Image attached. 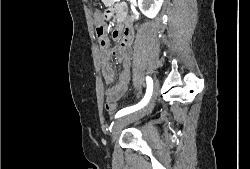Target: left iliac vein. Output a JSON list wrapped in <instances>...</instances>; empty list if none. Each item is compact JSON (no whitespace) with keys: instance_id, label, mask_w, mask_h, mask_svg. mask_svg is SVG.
Segmentation results:
<instances>
[{"instance_id":"4c4485c4","label":"left iliac vein","mask_w":250,"mask_h":169,"mask_svg":"<svg viewBox=\"0 0 250 169\" xmlns=\"http://www.w3.org/2000/svg\"><path fill=\"white\" fill-rule=\"evenodd\" d=\"M158 92H159V81H158V79H156L152 99L145 106V108H143V110H141L138 113L130 114V115H126V116H121L120 118H118L115 121L114 126L112 128V133H111V139H112L113 142L119 136L120 131L122 130V128L126 124H128V123H130V122H132V121H134L136 119L141 118L143 115H146L150 111V109H151V107L153 106V103H154V98L157 97Z\"/></svg>"}]
</instances>
